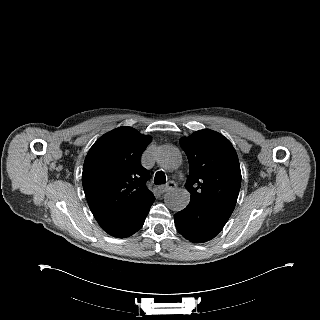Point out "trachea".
<instances>
[{
  "mask_svg": "<svg viewBox=\"0 0 320 320\" xmlns=\"http://www.w3.org/2000/svg\"><path fill=\"white\" fill-rule=\"evenodd\" d=\"M165 183H166L165 173L163 171H158L155 174L154 184L160 185V184H165Z\"/></svg>",
  "mask_w": 320,
  "mask_h": 320,
  "instance_id": "3493384b",
  "label": "trachea"
}]
</instances>
